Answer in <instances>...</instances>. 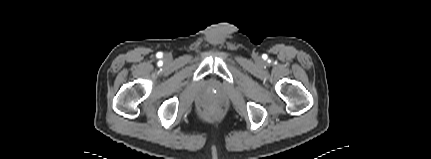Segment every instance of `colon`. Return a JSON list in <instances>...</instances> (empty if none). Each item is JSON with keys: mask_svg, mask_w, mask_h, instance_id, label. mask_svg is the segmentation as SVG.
<instances>
[{"mask_svg": "<svg viewBox=\"0 0 431 159\" xmlns=\"http://www.w3.org/2000/svg\"><path fill=\"white\" fill-rule=\"evenodd\" d=\"M215 114H216V113H215L214 111H210V112H209V116H215Z\"/></svg>", "mask_w": 431, "mask_h": 159, "instance_id": "colon-1", "label": "colon"}]
</instances>
